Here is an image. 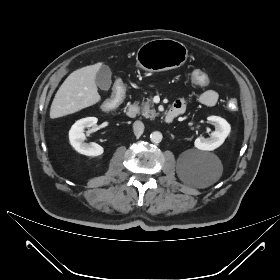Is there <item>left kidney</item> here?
<instances>
[{"label": "left kidney", "mask_w": 280, "mask_h": 280, "mask_svg": "<svg viewBox=\"0 0 280 280\" xmlns=\"http://www.w3.org/2000/svg\"><path fill=\"white\" fill-rule=\"evenodd\" d=\"M207 120L214 124L215 131L211 133L209 138L198 137L194 142V146L199 150L212 151L224 143L230 134L231 126L219 116H209Z\"/></svg>", "instance_id": "left-kidney-1"}]
</instances>
